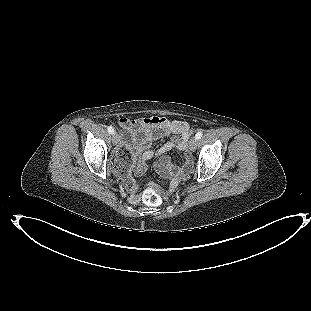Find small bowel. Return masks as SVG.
<instances>
[{"label": "small bowel", "mask_w": 311, "mask_h": 311, "mask_svg": "<svg viewBox=\"0 0 311 311\" xmlns=\"http://www.w3.org/2000/svg\"><path fill=\"white\" fill-rule=\"evenodd\" d=\"M118 124L123 130L118 166L124 161L127 163L130 161L133 173L141 176L148 169L150 162L159 158L157 169L167 173L172 184H176L186 174L191 166V160L187 154L184 156L182 167L173 165L171 159L166 156L172 150L186 151L189 128L185 122L152 116L137 119L121 117ZM168 136L172 137L170 141L158 149L151 148L154 140ZM124 150L128 151L126 155L123 154ZM128 183L131 200L136 202L138 185L131 179Z\"/></svg>", "instance_id": "small-bowel-1"}]
</instances>
